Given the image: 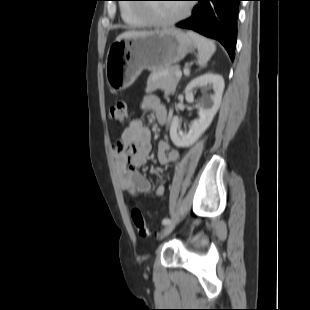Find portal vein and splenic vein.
I'll return each mask as SVG.
<instances>
[{
	"instance_id": "portal-vein-and-splenic-vein-1",
	"label": "portal vein and splenic vein",
	"mask_w": 310,
	"mask_h": 310,
	"mask_svg": "<svg viewBox=\"0 0 310 310\" xmlns=\"http://www.w3.org/2000/svg\"><path fill=\"white\" fill-rule=\"evenodd\" d=\"M175 76L180 78L182 76V72L180 70H178L176 73H175Z\"/></svg>"
}]
</instances>
